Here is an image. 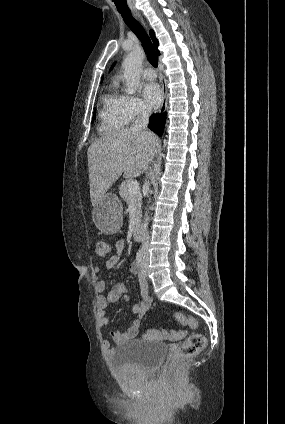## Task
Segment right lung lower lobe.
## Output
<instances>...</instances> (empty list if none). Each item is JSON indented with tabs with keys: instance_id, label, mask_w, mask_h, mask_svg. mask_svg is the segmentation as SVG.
Here are the masks:
<instances>
[{
	"instance_id": "right-lung-lower-lobe-1",
	"label": "right lung lower lobe",
	"mask_w": 285,
	"mask_h": 424,
	"mask_svg": "<svg viewBox=\"0 0 285 424\" xmlns=\"http://www.w3.org/2000/svg\"><path fill=\"white\" fill-rule=\"evenodd\" d=\"M166 121V113L153 114L150 118L148 127L156 134L161 136L163 134L164 126Z\"/></svg>"
}]
</instances>
